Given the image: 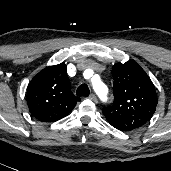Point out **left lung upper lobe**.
<instances>
[{"label": "left lung upper lobe", "mask_w": 171, "mask_h": 171, "mask_svg": "<svg viewBox=\"0 0 171 171\" xmlns=\"http://www.w3.org/2000/svg\"><path fill=\"white\" fill-rule=\"evenodd\" d=\"M114 103L102 109L107 121L121 131L145 125L158 103L154 85L146 72L133 61L112 68Z\"/></svg>", "instance_id": "5c2ea615"}]
</instances>
